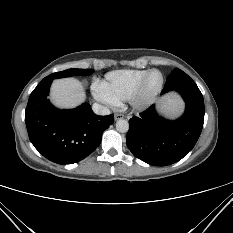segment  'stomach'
Segmentation results:
<instances>
[{
	"instance_id": "obj_1",
	"label": "stomach",
	"mask_w": 233,
	"mask_h": 233,
	"mask_svg": "<svg viewBox=\"0 0 233 233\" xmlns=\"http://www.w3.org/2000/svg\"><path fill=\"white\" fill-rule=\"evenodd\" d=\"M180 109L181 106L176 96L169 95L162 102V110L168 115H175Z\"/></svg>"
}]
</instances>
